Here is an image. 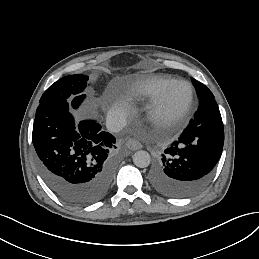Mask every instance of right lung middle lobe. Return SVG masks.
<instances>
[{
    "label": "right lung middle lobe",
    "mask_w": 259,
    "mask_h": 259,
    "mask_svg": "<svg viewBox=\"0 0 259 259\" xmlns=\"http://www.w3.org/2000/svg\"><path fill=\"white\" fill-rule=\"evenodd\" d=\"M88 76L75 74L65 76L53 83L40 98V103L46 101L68 100L76 109L85 98L81 92L86 88Z\"/></svg>",
    "instance_id": "dd1d6c3e"
}]
</instances>
